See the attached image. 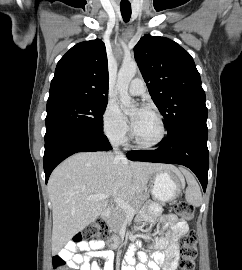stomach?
Returning a JSON list of instances; mask_svg holds the SVG:
<instances>
[{"mask_svg": "<svg viewBox=\"0 0 242 270\" xmlns=\"http://www.w3.org/2000/svg\"><path fill=\"white\" fill-rule=\"evenodd\" d=\"M151 181L153 197L163 202L175 200L185 185L183 176L179 172L170 169L156 172L153 174Z\"/></svg>", "mask_w": 242, "mask_h": 270, "instance_id": "0dacf381", "label": "stomach"}]
</instances>
